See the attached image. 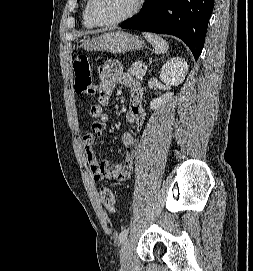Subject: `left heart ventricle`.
Wrapping results in <instances>:
<instances>
[{
    "label": "left heart ventricle",
    "instance_id": "b2bd125f",
    "mask_svg": "<svg viewBox=\"0 0 253 271\" xmlns=\"http://www.w3.org/2000/svg\"><path fill=\"white\" fill-rule=\"evenodd\" d=\"M137 0H95V12L103 22L116 20L135 6Z\"/></svg>",
    "mask_w": 253,
    "mask_h": 271
}]
</instances>
